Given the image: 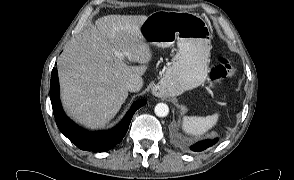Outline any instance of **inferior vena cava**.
<instances>
[{
  "instance_id": "inferior-vena-cava-1",
  "label": "inferior vena cava",
  "mask_w": 294,
  "mask_h": 180,
  "mask_svg": "<svg viewBox=\"0 0 294 180\" xmlns=\"http://www.w3.org/2000/svg\"><path fill=\"white\" fill-rule=\"evenodd\" d=\"M142 86L143 79L141 77L131 78L126 84V87L130 92H137L142 88Z\"/></svg>"
}]
</instances>
